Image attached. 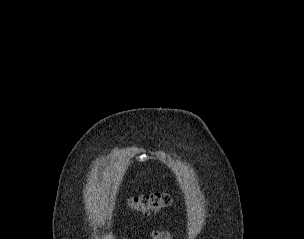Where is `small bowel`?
Wrapping results in <instances>:
<instances>
[{"instance_id": "obj_1", "label": "small bowel", "mask_w": 304, "mask_h": 239, "mask_svg": "<svg viewBox=\"0 0 304 239\" xmlns=\"http://www.w3.org/2000/svg\"><path fill=\"white\" fill-rule=\"evenodd\" d=\"M152 239H174L173 235L166 230H155L151 233Z\"/></svg>"}]
</instances>
